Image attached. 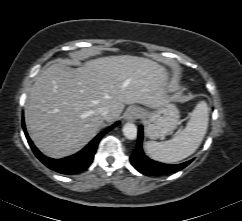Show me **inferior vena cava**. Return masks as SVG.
<instances>
[{
	"instance_id": "1",
	"label": "inferior vena cava",
	"mask_w": 242,
	"mask_h": 221,
	"mask_svg": "<svg viewBox=\"0 0 242 221\" xmlns=\"http://www.w3.org/2000/svg\"><path fill=\"white\" fill-rule=\"evenodd\" d=\"M99 113L102 115V117L107 120L110 116V111L107 107H101L99 109Z\"/></svg>"
}]
</instances>
